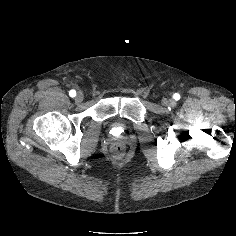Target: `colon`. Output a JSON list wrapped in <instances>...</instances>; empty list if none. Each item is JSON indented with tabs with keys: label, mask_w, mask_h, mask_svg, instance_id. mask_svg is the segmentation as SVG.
Returning a JSON list of instances; mask_svg holds the SVG:
<instances>
[{
	"label": "colon",
	"mask_w": 236,
	"mask_h": 236,
	"mask_svg": "<svg viewBox=\"0 0 236 236\" xmlns=\"http://www.w3.org/2000/svg\"><path fill=\"white\" fill-rule=\"evenodd\" d=\"M113 152L116 156H120L123 152V147L120 144H115L113 146Z\"/></svg>",
	"instance_id": "colon-1"
}]
</instances>
